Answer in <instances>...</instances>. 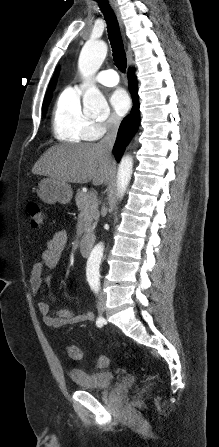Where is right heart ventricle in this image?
<instances>
[{"label": "right heart ventricle", "instance_id": "1", "mask_svg": "<svg viewBox=\"0 0 219 447\" xmlns=\"http://www.w3.org/2000/svg\"><path fill=\"white\" fill-rule=\"evenodd\" d=\"M52 129L55 137L65 143H82L99 137L96 123L81 108L80 93L71 87L65 88L55 102Z\"/></svg>", "mask_w": 219, "mask_h": 447}]
</instances>
